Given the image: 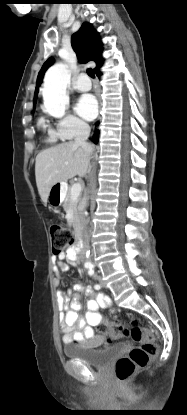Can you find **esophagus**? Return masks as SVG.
Returning a JSON list of instances; mask_svg holds the SVG:
<instances>
[{
    "instance_id": "1",
    "label": "esophagus",
    "mask_w": 187,
    "mask_h": 415,
    "mask_svg": "<svg viewBox=\"0 0 187 415\" xmlns=\"http://www.w3.org/2000/svg\"><path fill=\"white\" fill-rule=\"evenodd\" d=\"M96 132H97V127H96V126H94V127H93V130H92V134H91V137H92V138H94V137L96 136Z\"/></svg>"
}]
</instances>
